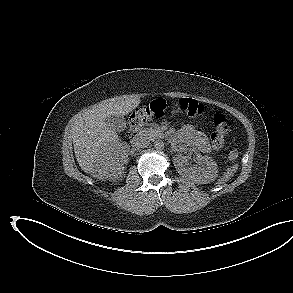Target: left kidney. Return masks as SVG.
Returning a JSON list of instances; mask_svg holds the SVG:
<instances>
[{
	"mask_svg": "<svg viewBox=\"0 0 293 293\" xmlns=\"http://www.w3.org/2000/svg\"><path fill=\"white\" fill-rule=\"evenodd\" d=\"M187 161V156L181 154L176 155L173 159L174 166L177 168L178 173L195 183L207 184L214 181L218 176L217 164L209 156H202L198 159L201 165L198 169L186 167Z\"/></svg>",
	"mask_w": 293,
	"mask_h": 293,
	"instance_id": "obj_1",
	"label": "left kidney"
}]
</instances>
